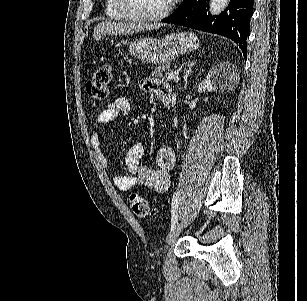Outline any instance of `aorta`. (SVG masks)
<instances>
[{
	"label": "aorta",
	"instance_id": "aorta-1",
	"mask_svg": "<svg viewBox=\"0 0 307 301\" xmlns=\"http://www.w3.org/2000/svg\"><path fill=\"white\" fill-rule=\"evenodd\" d=\"M229 0H210L209 10L211 14H220L226 8Z\"/></svg>",
	"mask_w": 307,
	"mask_h": 301
}]
</instances>
